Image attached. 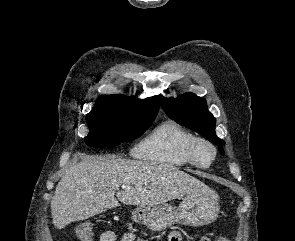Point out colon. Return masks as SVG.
<instances>
[{
	"mask_svg": "<svg viewBox=\"0 0 295 241\" xmlns=\"http://www.w3.org/2000/svg\"><path fill=\"white\" fill-rule=\"evenodd\" d=\"M81 238H82V241L93 240V230L91 226L84 228V230L81 233ZM172 241H183L182 235L179 232H177L176 234H174ZM216 241H230V240L226 238H219Z\"/></svg>",
	"mask_w": 295,
	"mask_h": 241,
	"instance_id": "colon-1",
	"label": "colon"
}]
</instances>
